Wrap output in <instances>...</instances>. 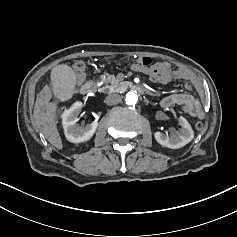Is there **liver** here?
I'll return each instance as SVG.
<instances>
[{"mask_svg":"<svg viewBox=\"0 0 237 237\" xmlns=\"http://www.w3.org/2000/svg\"><path fill=\"white\" fill-rule=\"evenodd\" d=\"M49 93V89L44 91ZM47 103L41 98H37L34 110V119L37 130L44 135V138L56 149L62 150L63 143L58 132L57 123L54 117L49 116L42 108ZM55 109V105H52Z\"/></svg>","mask_w":237,"mask_h":237,"instance_id":"6515ba94","label":"liver"}]
</instances>
